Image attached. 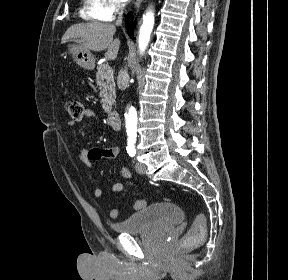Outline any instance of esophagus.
<instances>
[{
  "label": "esophagus",
  "instance_id": "esophagus-1",
  "mask_svg": "<svg viewBox=\"0 0 288 280\" xmlns=\"http://www.w3.org/2000/svg\"><path fill=\"white\" fill-rule=\"evenodd\" d=\"M142 1H143V0H136V2H135V8H136V9L140 6V4L142 3Z\"/></svg>",
  "mask_w": 288,
  "mask_h": 280
}]
</instances>
